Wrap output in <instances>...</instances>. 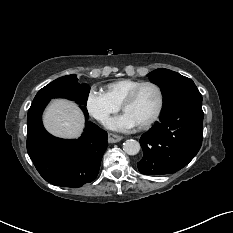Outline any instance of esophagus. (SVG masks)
<instances>
[{
    "mask_svg": "<svg viewBox=\"0 0 233 233\" xmlns=\"http://www.w3.org/2000/svg\"><path fill=\"white\" fill-rule=\"evenodd\" d=\"M122 136L114 134V133H108V142L109 143H117L122 140Z\"/></svg>",
    "mask_w": 233,
    "mask_h": 233,
    "instance_id": "1",
    "label": "esophagus"
}]
</instances>
